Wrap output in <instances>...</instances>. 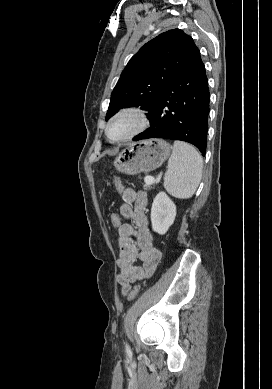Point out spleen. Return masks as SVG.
<instances>
[{
    "label": "spleen",
    "instance_id": "obj_1",
    "mask_svg": "<svg viewBox=\"0 0 272 389\" xmlns=\"http://www.w3.org/2000/svg\"><path fill=\"white\" fill-rule=\"evenodd\" d=\"M202 167V157L193 146L175 141L164 178L165 189L180 199L192 197L200 183Z\"/></svg>",
    "mask_w": 272,
    "mask_h": 389
}]
</instances>
